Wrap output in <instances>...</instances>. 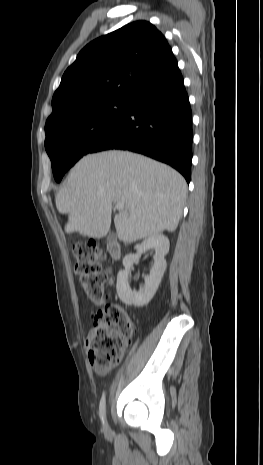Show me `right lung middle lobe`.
I'll use <instances>...</instances> for the list:
<instances>
[{
  "label": "right lung middle lobe",
  "mask_w": 263,
  "mask_h": 465,
  "mask_svg": "<svg viewBox=\"0 0 263 465\" xmlns=\"http://www.w3.org/2000/svg\"><path fill=\"white\" fill-rule=\"evenodd\" d=\"M129 103L130 98L99 100L73 108L46 122L45 149L57 182L124 118Z\"/></svg>",
  "instance_id": "right-lung-middle-lobe-1"
}]
</instances>
